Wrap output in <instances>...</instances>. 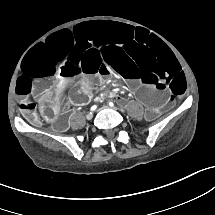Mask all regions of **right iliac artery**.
I'll list each match as a JSON object with an SVG mask.
<instances>
[{
    "instance_id": "right-iliac-artery-1",
    "label": "right iliac artery",
    "mask_w": 215,
    "mask_h": 215,
    "mask_svg": "<svg viewBox=\"0 0 215 215\" xmlns=\"http://www.w3.org/2000/svg\"><path fill=\"white\" fill-rule=\"evenodd\" d=\"M97 108V106L96 105H93L92 107H91V110L93 111V110H95Z\"/></svg>"
}]
</instances>
